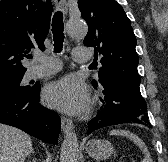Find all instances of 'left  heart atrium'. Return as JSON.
<instances>
[{
	"label": "left heart atrium",
	"mask_w": 168,
	"mask_h": 162,
	"mask_svg": "<svg viewBox=\"0 0 168 162\" xmlns=\"http://www.w3.org/2000/svg\"><path fill=\"white\" fill-rule=\"evenodd\" d=\"M45 102L67 113H80L89 104V91L75 76H67L49 84L44 91Z\"/></svg>",
	"instance_id": "obj_1"
}]
</instances>
